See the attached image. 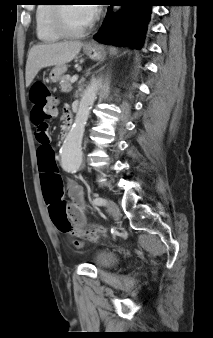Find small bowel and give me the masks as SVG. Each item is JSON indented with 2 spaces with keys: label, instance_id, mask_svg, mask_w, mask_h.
Listing matches in <instances>:
<instances>
[{
  "label": "small bowel",
  "instance_id": "obj_1",
  "mask_svg": "<svg viewBox=\"0 0 213 338\" xmlns=\"http://www.w3.org/2000/svg\"><path fill=\"white\" fill-rule=\"evenodd\" d=\"M69 113L70 109L64 108V114L66 117ZM45 146L50 148L48 145ZM38 168L44 201L51 216L50 209L53 204L56 202H63V199L61 198L63 182L54 157L49 156L46 158L40 153L38 157ZM66 187L72 200L70 203L66 204V211L72 218V224L65 221L61 226H58L57 224L56 226L61 232L68 233L71 236L81 235L88 223L84 212L83 191L82 188L74 181H69ZM97 237L98 234L95 232L90 235L89 239L94 241Z\"/></svg>",
  "mask_w": 213,
  "mask_h": 338
}]
</instances>
